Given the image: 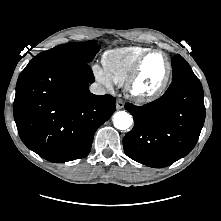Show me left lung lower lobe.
<instances>
[{"label": "left lung lower lobe", "mask_w": 221, "mask_h": 221, "mask_svg": "<svg viewBox=\"0 0 221 221\" xmlns=\"http://www.w3.org/2000/svg\"><path fill=\"white\" fill-rule=\"evenodd\" d=\"M134 128L123 139L126 155L153 168L166 167L195 146L205 120L203 89L194 73L172 81L165 94L145 106L126 104Z\"/></svg>", "instance_id": "obj_1"}]
</instances>
